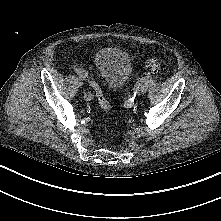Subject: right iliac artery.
Instances as JSON below:
<instances>
[{
  "label": "right iliac artery",
  "instance_id": "right-iliac-artery-1",
  "mask_svg": "<svg viewBox=\"0 0 221 221\" xmlns=\"http://www.w3.org/2000/svg\"><path fill=\"white\" fill-rule=\"evenodd\" d=\"M74 71H75L77 74H79L80 76H82L83 78H85L88 83L90 82V81H89V78H88V75H87V73H86L84 70H82V69H80V68H75ZM84 98H85V100H87V101H90V100L93 99V94H92V92L90 91L89 88H88L87 91L85 92Z\"/></svg>",
  "mask_w": 221,
  "mask_h": 221
}]
</instances>
